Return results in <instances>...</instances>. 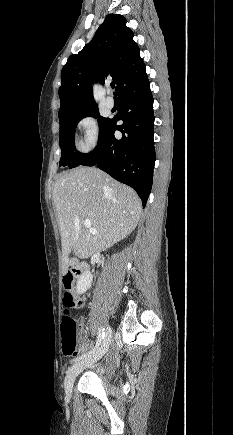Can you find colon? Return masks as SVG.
Instances as JSON below:
<instances>
[{"label": "colon", "mask_w": 233, "mask_h": 435, "mask_svg": "<svg viewBox=\"0 0 233 435\" xmlns=\"http://www.w3.org/2000/svg\"><path fill=\"white\" fill-rule=\"evenodd\" d=\"M77 277L68 272L63 277L62 286L65 290L63 303L64 313L61 319V340L62 351L65 355H76L79 352L84 351L78 344V323L72 315V309L82 306V302L77 301L70 294V289L76 283Z\"/></svg>", "instance_id": "colon-1"}]
</instances>
